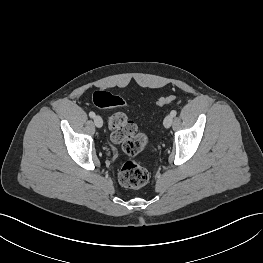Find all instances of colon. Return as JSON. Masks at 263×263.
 I'll return each mask as SVG.
<instances>
[{"label":"colon","mask_w":263,"mask_h":263,"mask_svg":"<svg viewBox=\"0 0 263 263\" xmlns=\"http://www.w3.org/2000/svg\"><path fill=\"white\" fill-rule=\"evenodd\" d=\"M174 95H164L157 101V105L164 106L175 101ZM93 102L101 108H123L126 102L118 95L109 91H96ZM111 139L119 144L122 150L129 156L139 154L147 144V136L139 132L136 125L122 112H116L109 117ZM149 179V173L136 161H127L119 172V181L130 188H140Z\"/></svg>","instance_id":"obj_1"}]
</instances>
